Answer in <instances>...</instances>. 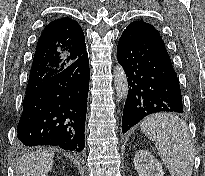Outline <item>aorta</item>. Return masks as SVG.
<instances>
[{
	"mask_svg": "<svg viewBox=\"0 0 205 176\" xmlns=\"http://www.w3.org/2000/svg\"><path fill=\"white\" fill-rule=\"evenodd\" d=\"M114 86L118 100L126 99L128 94V82L123 68L117 65L114 68Z\"/></svg>",
	"mask_w": 205,
	"mask_h": 176,
	"instance_id": "obj_1",
	"label": "aorta"
}]
</instances>
